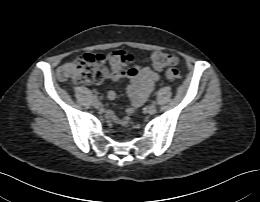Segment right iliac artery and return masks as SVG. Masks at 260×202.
Here are the masks:
<instances>
[{"label":"right iliac artery","mask_w":260,"mask_h":202,"mask_svg":"<svg viewBox=\"0 0 260 202\" xmlns=\"http://www.w3.org/2000/svg\"><path fill=\"white\" fill-rule=\"evenodd\" d=\"M93 98H94L95 100H97V99H98V96H97V95H94Z\"/></svg>","instance_id":"1"}]
</instances>
